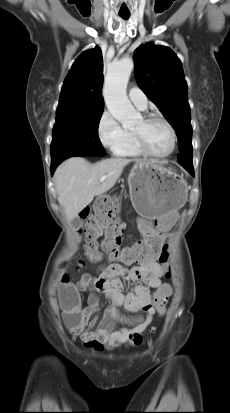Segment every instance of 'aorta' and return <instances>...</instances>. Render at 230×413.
Instances as JSON below:
<instances>
[{
	"label": "aorta",
	"mask_w": 230,
	"mask_h": 413,
	"mask_svg": "<svg viewBox=\"0 0 230 413\" xmlns=\"http://www.w3.org/2000/svg\"><path fill=\"white\" fill-rule=\"evenodd\" d=\"M134 68L131 58L113 63L106 75L103 89L104 100L111 115L124 127L131 126L141 118L126 94L129 77Z\"/></svg>",
	"instance_id": "obj_1"
}]
</instances>
